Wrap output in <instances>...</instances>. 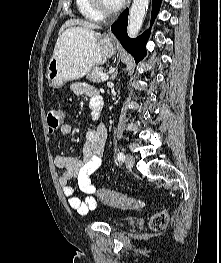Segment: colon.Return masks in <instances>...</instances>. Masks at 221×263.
Returning a JSON list of instances; mask_svg holds the SVG:
<instances>
[{"label":"colon","mask_w":221,"mask_h":263,"mask_svg":"<svg viewBox=\"0 0 221 263\" xmlns=\"http://www.w3.org/2000/svg\"><path fill=\"white\" fill-rule=\"evenodd\" d=\"M65 112L62 107H52L47 114V125L50 132L61 127ZM98 198L106 205L122 210L140 211L143 209V202L137 198L130 197L112 190L99 189ZM169 215L166 210L153 214L150 218V227L153 230H162L168 224Z\"/></svg>","instance_id":"1"}]
</instances>
